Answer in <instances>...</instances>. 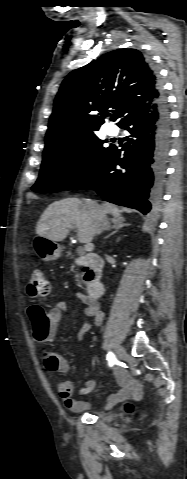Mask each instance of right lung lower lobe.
<instances>
[{"mask_svg":"<svg viewBox=\"0 0 187 479\" xmlns=\"http://www.w3.org/2000/svg\"><path fill=\"white\" fill-rule=\"evenodd\" d=\"M119 127L130 133L121 149L124 156L112 147L106 159L74 189L96 190L111 203L147 214L161 199L170 143V116L164 94L150 107L128 114ZM118 165L125 171L117 170Z\"/></svg>","mask_w":187,"mask_h":479,"instance_id":"obj_1","label":"right lung lower lobe"}]
</instances>
